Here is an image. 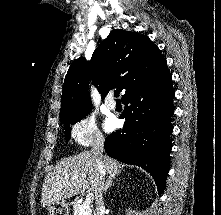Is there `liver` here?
<instances>
[{
  "instance_id": "6515ba94",
  "label": "liver",
  "mask_w": 221,
  "mask_h": 215,
  "mask_svg": "<svg viewBox=\"0 0 221 215\" xmlns=\"http://www.w3.org/2000/svg\"><path fill=\"white\" fill-rule=\"evenodd\" d=\"M101 160L105 174L115 176L121 172V163L107 156H103ZM99 174L97 157L92 150L62 159L44 180L42 204L47 206L64 201L85 191L89 186L94 190Z\"/></svg>"
}]
</instances>
